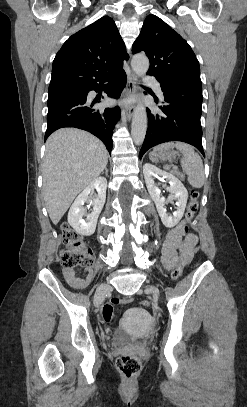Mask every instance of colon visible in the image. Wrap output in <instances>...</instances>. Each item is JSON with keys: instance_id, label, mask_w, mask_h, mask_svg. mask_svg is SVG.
<instances>
[{"instance_id": "5ec220e1", "label": "colon", "mask_w": 247, "mask_h": 407, "mask_svg": "<svg viewBox=\"0 0 247 407\" xmlns=\"http://www.w3.org/2000/svg\"><path fill=\"white\" fill-rule=\"evenodd\" d=\"M199 210V193L192 190L190 193V200L187 205L186 213L183 220V230L188 233V224ZM63 241L65 248L60 253V262L64 268L73 269L75 267L90 268L94 264L93 252L90 246L83 240L82 236L75 230L63 226ZM184 268L183 262H179L178 265L171 273L173 280H178ZM132 297L118 298L114 297L107 302L102 308V318L106 322H112L115 320L114 306L119 304H128L132 302ZM141 306L148 307L149 302L147 300L141 301ZM140 359L132 354H125L119 356L116 360V367L119 372L126 378L132 379L138 375L141 370Z\"/></svg>"}]
</instances>
